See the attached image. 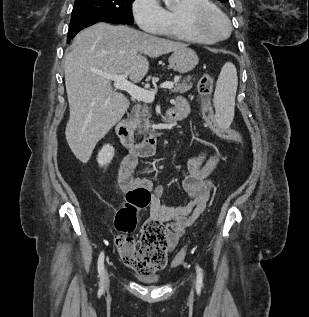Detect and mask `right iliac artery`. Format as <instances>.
Returning <instances> with one entry per match:
<instances>
[{
	"label": "right iliac artery",
	"instance_id": "82829eb1",
	"mask_svg": "<svg viewBox=\"0 0 309 317\" xmlns=\"http://www.w3.org/2000/svg\"><path fill=\"white\" fill-rule=\"evenodd\" d=\"M104 257V252L102 251L99 255L97 266L101 285H103L104 282Z\"/></svg>",
	"mask_w": 309,
	"mask_h": 317
}]
</instances>
